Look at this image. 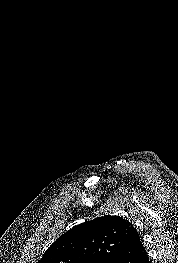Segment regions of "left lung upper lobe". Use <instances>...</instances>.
Returning a JSON list of instances; mask_svg holds the SVG:
<instances>
[{"label": "left lung upper lobe", "mask_w": 178, "mask_h": 263, "mask_svg": "<svg viewBox=\"0 0 178 263\" xmlns=\"http://www.w3.org/2000/svg\"><path fill=\"white\" fill-rule=\"evenodd\" d=\"M132 226L110 215L84 222L59 237L38 263H109Z\"/></svg>", "instance_id": "5c2ea615"}]
</instances>
